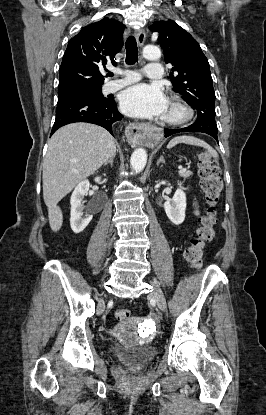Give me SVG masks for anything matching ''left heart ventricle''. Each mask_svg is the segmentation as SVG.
<instances>
[{"label": "left heart ventricle", "mask_w": 266, "mask_h": 415, "mask_svg": "<svg viewBox=\"0 0 266 415\" xmlns=\"http://www.w3.org/2000/svg\"><path fill=\"white\" fill-rule=\"evenodd\" d=\"M178 111L168 105V108L163 116H177Z\"/></svg>", "instance_id": "b2bd125f"}]
</instances>
